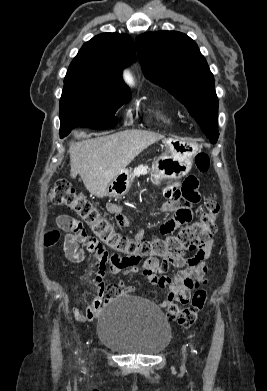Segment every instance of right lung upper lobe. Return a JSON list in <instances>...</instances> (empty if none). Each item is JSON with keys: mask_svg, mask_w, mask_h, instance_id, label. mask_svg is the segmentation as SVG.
Here are the masks:
<instances>
[{"mask_svg": "<svg viewBox=\"0 0 267 391\" xmlns=\"http://www.w3.org/2000/svg\"><path fill=\"white\" fill-rule=\"evenodd\" d=\"M135 60V46L126 34L102 33L86 42L71 62L65 81L93 79L108 87L130 91L122 68Z\"/></svg>", "mask_w": 267, "mask_h": 391, "instance_id": "cb5924a9", "label": "right lung upper lobe"}]
</instances>
